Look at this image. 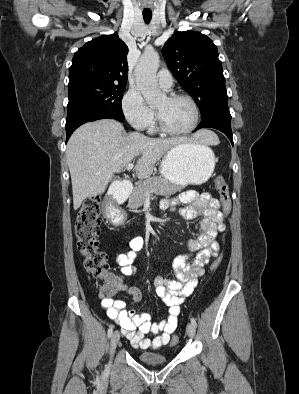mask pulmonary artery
Segmentation results:
<instances>
[{
  "label": "pulmonary artery",
  "instance_id": "obj_1",
  "mask_svg": "<svg viewBox=\"0 0 299 394\" xmlns=\"http://www.w3.org/2000/svg\"><path fill=\"white\" fill-rule=\"evenodd\" d=\"M157 80H158L159 86L161 88H163L164 90L168 91L172 88L173 78H172L170 71H168L166 69L160 70L157 75Z\"/></svg>",
  "mask_w": 299,
  "mask_h": 394
}]
</instances>
